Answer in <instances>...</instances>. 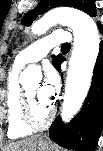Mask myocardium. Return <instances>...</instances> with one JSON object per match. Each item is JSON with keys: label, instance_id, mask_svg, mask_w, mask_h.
<instances>
[{"label": "myocardium", "instance_id": "1", "mask_svg": "<svg viewBox=\"0 0 103 151\" xmlns=\"http://www.w3.org/2000/svg\"><path fill=\"white\" fill-rule=\"evenodd\" d=\"M56 109L51 106L49 114L44 121H37L32 113L31 101L28 96L26 88H22V100H21V118L24 124L31 130H43L46 129L54 119Z\"/></svg>", "mask_w": 103, "mask_h": 151}]
</instances>
